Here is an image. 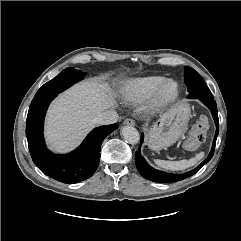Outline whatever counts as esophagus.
I'll use <instances>...</instances> for the list:
<instances>
[{
	"mask_svg": "<svg viewBox=\"0 0 241 241\" xmlns=\"http://www.w3.org/2000/svg\"><path fill=\"white\" fill-rule=\"evenodd\" d=\"M123 124L129 125V126H135V121L131 118H128V119L124 120Z\"/></svg>",
	"mask_w": 241,
	"mask_h": 241,
	"instance_id": "obj_1",
	"label": "esophagus"
}]
</instances>
